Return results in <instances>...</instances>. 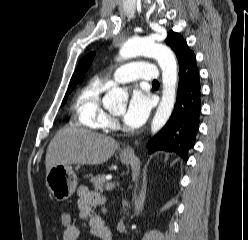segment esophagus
Masks as SVG:
<instances>
[{
	"label": "esophagus",
	"mask_w": 248,
	"mask_h": 240,
	"mask_svg": "<svg viewBox=\"0 0 248 240\" xmlns=\"http://www.w3.org/2000/svg\"><path fill=\"white\" fill-rule=\"evenodd\" d=\"M136 143H137V140H136ZM123 154H132L133 153V149L132 148H125L123 151H122Z\"/></svg>",
	"instance_id": "34e87169"
}]
</instances>
